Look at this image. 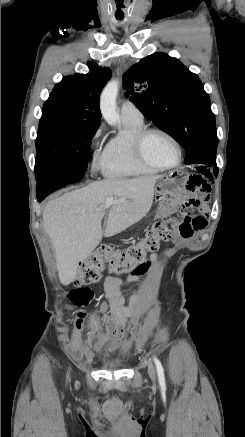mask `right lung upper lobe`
I'll list each match as a JSON object with an SVG mask.
<instances>
[{
    "label": "right lung upper lobe",
    "instance_id": "cb5924a9",
    "mask_svg": "<svg viewBox=\"0 0 245 437\" xmlns=\"http://www.w3.org/2000/svg\"><path fill=\"white\" fill-rule=\"evenodd\" d=\"M90 73L66 76L55 85L43 110H60L87 121H101L100 93L111 77L109 68L88 63Z\"/></svg>",
    "mask_w": 245,
    "mask_h": 437
}]
</instances>
